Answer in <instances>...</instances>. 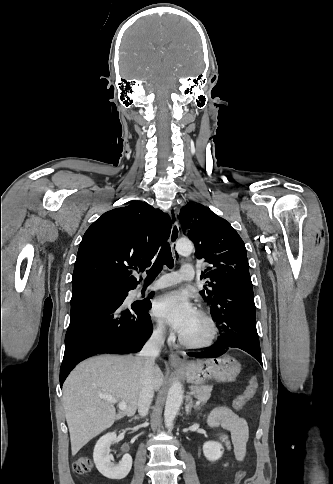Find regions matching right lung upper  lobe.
<instances>
[{"label": "right lung upper lobe", "instance_id": "obj_1", "mask_svg": "<svg viewBox=\"0 0 333 484\" xmlns=\"http://www.w3.org/2000/svg\"><path fill=\"white\" fill-rule=\"evenodd\" d=\"M170 217L148 203L104 213L85 232L73 272V290L84 287L134 289V274L151 259L171 230ZM1 363V357H0Z\"/></svg>", "mask_w": 333, "mask_h": 484}]
</instances>
